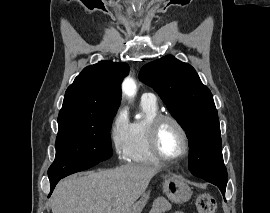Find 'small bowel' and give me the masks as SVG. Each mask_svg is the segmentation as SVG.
<instances>
[{"label": "small bowel", "instance_id": "small-bowel-1", "mask_svg": "<svg viewBox=\"0 0 270 213\" xmlns=\"http://www.w3.org/2000/svg\"><path fill=\"white\" fill-rule=\"evenodd\" d=\"M169 208V203L163 200H157L155 201V203L153 204V207L151 209L150 213H165V211H167ZM173 213H183L180 211H176Z\"/></svg>", "mask_w": 270, "mask_h": 213}]
</instances>
